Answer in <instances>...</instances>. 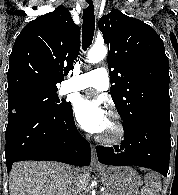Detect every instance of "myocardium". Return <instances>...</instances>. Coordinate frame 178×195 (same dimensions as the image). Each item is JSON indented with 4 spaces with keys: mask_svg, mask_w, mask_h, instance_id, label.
<instances>
[{
    "mask_svg": "<svg viewBox=\"0 0 178 195\" xmlns=\"http://www.w3.org/2000/svg\"><path fill=\"white\" fill-rule=\"evenodd\" d=\"M109 116L114 124V133L109 137L99 135L97 141L104 145L113 146L124 140L126 136V128L120 116L115 111L109 112Z\"/></svg>",
    "mask_w": 178,
    "mask_h": 195,
    "instance_id": "f54148a6",
    "label": "myocardium"
}]
</instances>
